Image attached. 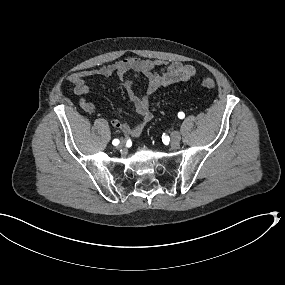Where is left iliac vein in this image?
<instances>
[{"label": "left iliac vein", "instance_id": "obj_1", "mask_svg": "<svg viewBox=\"0 0 285 285\" xmlns=\"http://www.w3.org/2000/svg\"><path fill=\"white\" fill-rule=\"evenodd\" d=\"M170 138H171V146L173 148H177L180 144L181 141V135L178 131H173L170 134Z\"/></svg>", "mask_w": 285, "mask_h": 285}]
</instances>
